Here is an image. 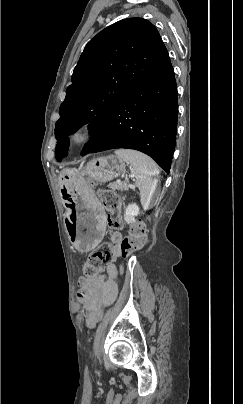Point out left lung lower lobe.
Segmentation results:
<instances>
[{"instance_id": "0a47b994", "label": "left lung lower lobe", "mask_w": 243, "mask_h": 404, "mask_svg": "<svg viewBox=\"0 0 243 404\" xmlns=\"http://www.w3.org/2000/svg\"><path fill=\"white\" fill-rule=\"evenodd\" d=\"M177 118V84L168 57L107 115L81 155L114 148L135 149L152 157L169 174Z\"/></svg>"}]
</instances>
